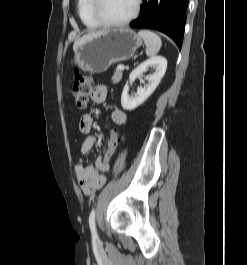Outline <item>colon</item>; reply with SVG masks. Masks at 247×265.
<instances>
[{
	"label": "colon",
	"instance_id": "5ec220e1",
	"mask_svg": "<svg viewBox=\"0 0 247 265\" xmlns=\"http://www.w3.org/2000/svg\"><path fill=\"white\" fill-rule=\"evenodd\" d=\"M92 80L89 76L80 73L77 69L75 70L74 81L72 85V95L75 100V103L79 108L86 107L89 97L92 94ZM121 138L119 137L117 130L111 128L110 130V140L108 144V149L105 152V155L102 158V166L104 172H106L112 161V158L120 145Z\"/></svg>",
	"mask_w": 247,
	"mask_h": 265
}]
</instances>
